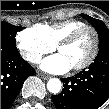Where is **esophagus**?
I'll list each match as a JSON object with an SVG mask.
<instances>
[{"instance_id":"obj_1","label":"esophagus","mask_w":109,"mask_h":109,"mask_svg":"<svg viewBox=\"0 0 109 109\" xmlns=\"http://www.w3.org/2000/svg\"><path fill=\"white\" fill-rule=\"evenodd\" d=\"M37 75H38L39 77H41L42 79H44V80H47V79L50 78V76H48V75H46V74H43V73H40V72H38Z\"/></svg>"}]
</instances>
